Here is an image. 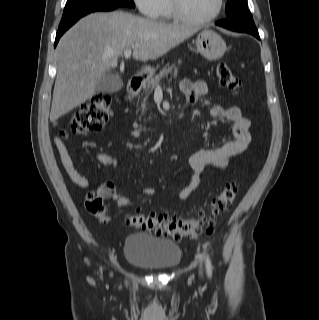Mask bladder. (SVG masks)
<instances>
[{"mask_svg":"<svg viewBox=\"0 0 319 320\" xmlns=\"http://www.w3.org/2000/svg\"><path fill=\"white\" fill-rule=\"evenodd\" d=\"M124 254L129 263L151 271L172 269L180 263L182 256L176 241L137 233L127 235Z\"/></svg>","mask_w":319,"mask_h":320,"instance_id":"31cf9c89","label":"bladder"}]
</instances>
